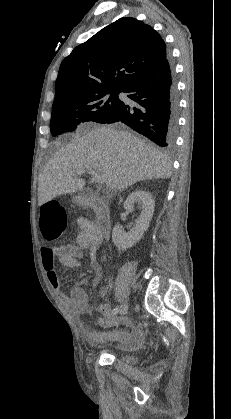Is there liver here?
Masks as SVG:
<instances>
[{
    "label": "liver",
    "instance_id": "1",
    "mask_svg": "<svg viewBox=\"0 0 231 419\" xmlns=\"http://www.w3.org/2000/svg\"><path fill=\"white\" fill-rule=\"evenodd\" d=\"M77 170L105 175L107 189L115 191L171 175L167 157L156 147L128 131L99 126L60 148L44 166L38 180V204L81 191L85 180L74 175Z\"/></svg>",
    "mask_w": 231,
    "mask_h": 419
}]
</instances>
